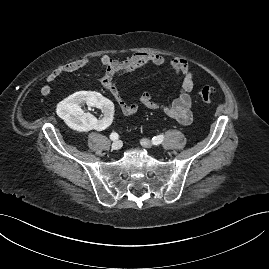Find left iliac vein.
<instances>
[{
  "mask_svg": "<svg viewBox=\"0 0 269 269\" xmlns=\"http://www.w3.org/2000/svg\"><path fill=\"white\" fill-rule=\"evenodd\" d=\"M141 145L146 148H150L152 146L151 142L147 139H141Z\"/></svg>",
  "mask_w": 269,
  "mask_h": 269,
  "instance_id": "4c4485c4",
  "label": "left iliac vein"
}]
</instances>
